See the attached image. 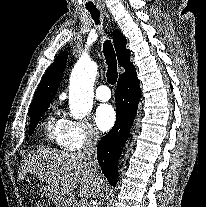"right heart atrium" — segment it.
<instances>
[{"mask_svg": "<svg viewBox=\"0 0 206 207\" xmlns=\"http://www.w3.org/2000/svg\"><path fill=\"white\" fill-rule=\"evenodd\" d=\"M61 122V144L65 149L91 148L99 142V133L89 121L66 117Z\"/></svg>", "mask_w": 206, "mask_h": 207, "instance_id": "1", "label": "right heart atrium"}]
</instances>
